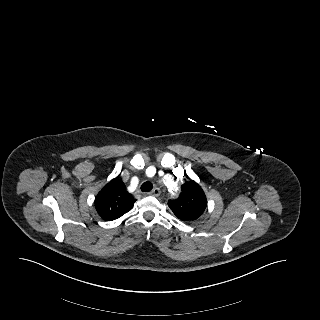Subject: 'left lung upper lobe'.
Listing matches in <instances>:
<instances>
[{"instance_id":"obj_1","label":"left lung upper lobe","mask_w":320,"mask_h":320,"mask_svg":"<svg viewBox=\"0 0 320 320\" xmlns=\"http://www.w3.org/2000/svg\"><path fill=\"white\" fill-rule=\"evenodd\" d=\"M206 205L205 193L195 181L184 183L179 198L168 201L170 209L182 221L196 220L202 215Z\"/></svg>"}]
</instances>
